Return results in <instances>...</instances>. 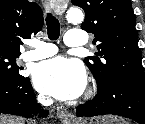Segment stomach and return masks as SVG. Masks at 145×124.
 <instances>
[{"label":"stomach","mask_w":145,"mask_h":124,"mask_svg":"<svg viewBox=\"0 0 145 124\" xmlns=\"http://www.w3.org/2000/svg\"><path fill=\"white\" fill-rule=\"evenodd\" d=\"M80 124H125V121L114 116H105L91 119L90 121H83Z\"/></svg>","instance_id":"stomach-1"}]
</instances>
